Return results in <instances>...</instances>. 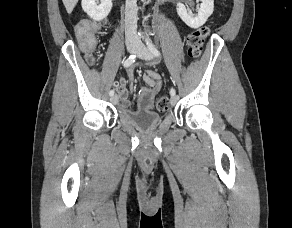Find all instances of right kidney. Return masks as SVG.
<instances>
[{
  "mask_svg": "<svg viewBox=\"0 0 292 228\" xmlns=\"http://www.w3.org/2000/svg\"><path fill=\"white\" fill-rule=\"evenodd\" d=\"M82 0V9L94 21H101L108 16L112 8L111 0Z\"/></svg>",
  "mask_w": 292,
  "mask_h": 228,
  "instance_id": "obj_1",
  "label": "right kidney"
}]
</instances>
